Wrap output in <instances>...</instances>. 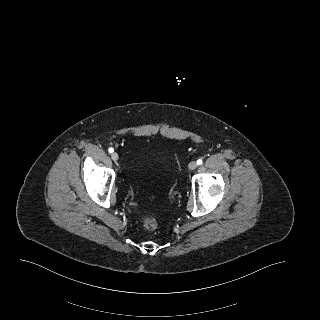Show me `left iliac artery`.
<instances>
[{
	"instance_id": "obj_1",
	"label": "left iliac artery",
	"mask_w": 320,
	"mask_h": 320,
	"mask_svg": "<svg viewBox=\"0 0 320 320\" xmlns=\"http://www.w3.org/2000/svg\"><path fill=\"white\" fill-rule=\"evenodd\" d=\"M202 162H203L202 159H198V160H197V164H198V165L202 164Z\"/></svg>"
}]
</instances>
